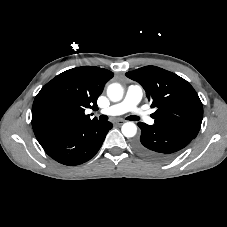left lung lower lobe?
Here are the masks:
<instances>
[{"mask_svg":"<svg viewBox=\"0 0 227 227\" xmlns=\"http://www.w3.org/2000/svg\"><path fill=\"white\" fill-rule=\"evenodd\" d=\"M140 139L135 141L134 149L142 157L164 162L172 158L179 150L187 146L193 136L168 127L147 125L139 122Z\"/></svg>","mask_w":227,"mask_h":227,"instance_id":"obj_1","label":"left lung lower lobe"}]
</instances>
